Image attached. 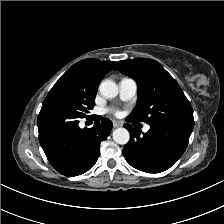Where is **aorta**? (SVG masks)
I'll list each match as a JSON object with an SVG mask.
<instances>
[{
  "label": "aorta",
  "instance_id": "1",
  "mask_svg": "<svg viewBox=\"0 0 224 224\" xmlns=\"http://www.w3.org/2000/svg\"><path fill=\"white\" fill-rule=\"evenodd\" d=\"M100 94L105 98H114L118 95V86L111 80H104L99 86ZM113 140L120 144L125 145L129 142L130 134L126 128H117L113 131Z\"/></svg>",
  "mask_w": 224,
  "mask_h": 224
}]
</instances>
